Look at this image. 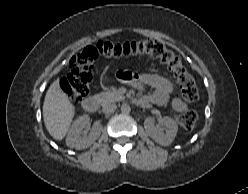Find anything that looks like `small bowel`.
<instances>
[{"label":"small bowel","mask_w":248,"mask_h":194,"mask_svg":"<svg viewBox=\"0 0 248 194\" xmlns=\"http://www.w3.org/2000/svg\"><path fill=\"white\" fill-rule=\"evenodd\" d=\"M136 89L143 91L146 87H151L154 91L139 99L140 105L148 106L155 104L164 106L170 104L177 112H184L186 104L175 95L173 84L165 77L154 73L130 74L128 79Z\"/></svg>","instance_id":"small-bowel-1"}]
</instances>
